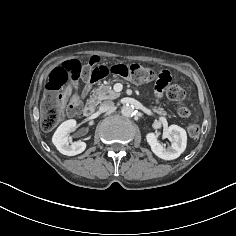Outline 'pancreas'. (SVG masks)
Wrapping results in <instances>:
<instances>
[{
  "mask_svg": "<svg viewBox=\"0 0 236 236\" xmlns=\"http://www.w3.org/2000/svg\"><path fill=\"white\" fill-rule=\"evenodd\" d=\"M120 96V93L115 92L114 90H112L111 84L108 83L107 85L104 86H100L98 88H96L93 91L92 94V101L94 104H99L101 103L103 100H107V99H116ZM156 104H158V102H156ZM151 109L153 110V112L157 113L158 115L161 116H167L168 113L160 106H151ZM169 117H171L169 115Z\"/></svg>",
  "mask_w": 236,
  "mask_h": 236,
  "instance_id": "obj_1",
  "label": "pancreas"
}]
</instances>
